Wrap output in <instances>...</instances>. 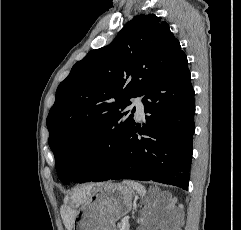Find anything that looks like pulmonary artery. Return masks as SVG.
<instances>
[{"mask_svg": "<svg viewBox=\"0 0 241 230\" xmlns=\"http://www.w3.org/2000/svg\"><path fill=\"white\" fill-rule=\"evenodd\" d=\"M131 106H132V107H135L137 116H138L139 118H142L143 115H144L143 97H142V96L135 97V98L132 100Z\"/></svg>", "mask_w": 241, "mask_h": 230, "instance_id": "pulmonary-artery-1", "label": "pulmonary artery"}]
</instances>
